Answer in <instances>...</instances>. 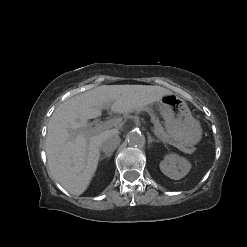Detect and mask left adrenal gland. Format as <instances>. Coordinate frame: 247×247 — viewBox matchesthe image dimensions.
<instances>
[{
    "mask_svg": "<svg viewBox=\"0 0 247 247\" xmlns=\"http://www.w3.org/2000/svg\"><path fill=\"white\" fill-rule=\"evenodd\" d=\"M152 142H159V140L153 139L151 136H148V144H151Z\"/></svg>",
    "mask_w": 247,
    "mask_h": 247,
    "instance_id": "a2214340",
    "label": "left adrenal gland"
}]
</instances>
